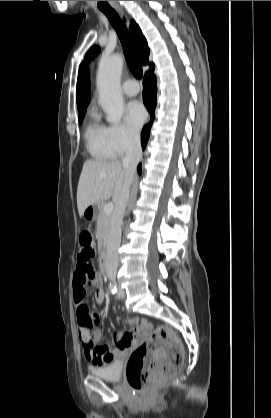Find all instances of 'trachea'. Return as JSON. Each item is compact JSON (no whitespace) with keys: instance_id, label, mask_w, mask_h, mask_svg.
<instances>
[{"instance_id":"1","label":"trachea","mask_w":271,"mask_h":418,"mask_svg":"<svg viewBox=\"0 0 271 418\" xmlns=\"http://www.w3.org/2000/svg\"><path fill=\"white\" fill-rule=\"evenodd\" d=\"M109 19L110 23L116 30L118 37L121 41L122 47L124 49L126 62L137 79H141L143 76V70L140 62L136 57V51L133 44V41L129 35L127 27L124 22L120 19L118 14L113 9H103L101 10Z\"/></svg>"}]
</instances>
